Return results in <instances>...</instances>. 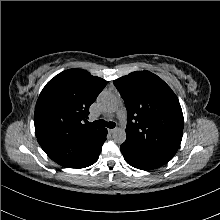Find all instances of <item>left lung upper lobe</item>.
<instances>
[{"label": "left lung upper lobe", "mask_w": 220, "mask_h": 220, "mask_svg": "<svg viewBox=\"0 0 220 220\" xmlns=\"http://www.w3.org/2000/svg\"><path fill=\"white\" fill-rule=\"evenodd\" d=\"M128 115L126 141L167 159L177 152L184 118L171 88L149 71H136L114 80Z\"/></svg>", "instance_id": "5c2ea615"}]
</instances>
